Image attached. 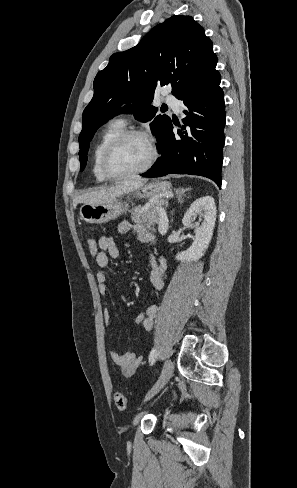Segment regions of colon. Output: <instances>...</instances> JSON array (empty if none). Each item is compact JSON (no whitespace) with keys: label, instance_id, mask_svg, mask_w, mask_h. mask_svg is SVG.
I'll use <instances>...</instances> for the list:
<instances>
[{"label":"colon","instance_id":"1","mask_svg":"<svg viewBox=\"0 0 297 488\" xmlns=\"http://www.w3.org/2000/svg\"><path fill=\"white\" fill-rule=\"evenodd\" d=\"M88 249L92 257H96L99 252L98 241L92 237L88 238ZM114 400L117 408L120 411H124L128 406V398L122 392H116L114 395Z\"/></svg>","mask_w":297,"mask_h":488}]
</instances>
